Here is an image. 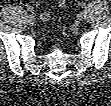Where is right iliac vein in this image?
<instances>
[{
    "instance_id": "obj_1",
    "label": "right iliac vein",
    "mask_w": 111,
    "mask_h": 106,
    "mask_svg": "<svg viewBox=\"0 0 111 106\" xmlns=\"http://www.w3.org/2000/svg\"><path fill=\"white\" fill-rule=\"evenodd\" d=\"M27 20L30 25H33L35 23V18L33 15H29Z\"/></svg>"
}]
</instances>
